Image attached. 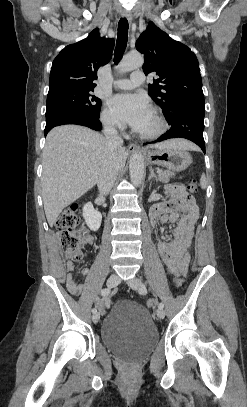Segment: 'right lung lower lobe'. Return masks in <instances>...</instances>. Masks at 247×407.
Masks as SVG:
<instances>
[{
    "mask_svg": "<svg viewBox=\"0 0 247 407\" xmlns=\"http://www.w3.org/2000/svg\"><path fill=\"white\" fill-rule=\"evenodd\" d=\"M64 124L83 125L96 131H100L102 128L99 117H89L77 113H61L46 118L45 136L53 127Z\"/></svg>",
    "mask_w": 247,
    "mask_h": 407,
    "instance_id": "1",
    "label": "right lung lower lobe"
}]
</instances>
